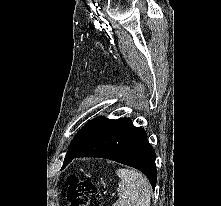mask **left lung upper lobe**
<instances>
[{
	"label": "left lung upper lobe",
	"instance_id": "1",
	"mask_svg": "<svg viewBox=\"0 0 221 206\" xmlns=\"http://www.w3.org/2000/svg\"><path fill=\"white\" fill-rule=\"evenodd\" d=\"M114 120L104 117H97L89 121L75 135L70 148L66 153L64 162L78 154L87 145H89L99 134H101Z\"/></svg>",
	"mask_w": 221,
	"mask_h": 206
}]
</instances>
